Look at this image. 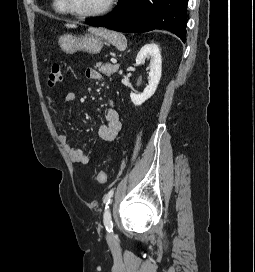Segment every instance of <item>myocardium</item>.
<instances>
[{
    "label": "myocardium",
    "instance_id": "1",
    "mask_svg": "<svg viewBox=\"0 0 255 272\" xmlns=\"http://www.w3.org/2000/svg\"><path fill=\"white\" fill-rule=\"evenodd\" d=\"M115 0H107L106 3L104 4V6L96 11L93 12H86V13H81V12H77L75 11L71 4H70V0H62L64 8L66 9V11L77 17V18H81V19H85V18H95V17H100L102 15H105L106 13H108L111 8L113 7Z\"/></svg>",
    "mask_w": 255,
    "mask_h": 272
}]
</instances>
